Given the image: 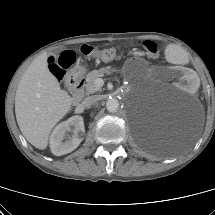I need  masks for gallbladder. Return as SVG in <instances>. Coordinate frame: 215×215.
<instances>
[{
	"mask_svg": "<svg viewBox=\"0 0 215 215\" xmlns=\"http://www.w3.org/2000/svg\"><path fill=\"white\" fill-rule=\"evenodd\" d=\"M62 50H63V48L55 49L54 52H53V55L57 56Z\"/></svg>",
	"mask_w": 215,
	"mask_h": 215,
	"instance_id": "1",
	"label": "gallbladder"
}]
</instances>
